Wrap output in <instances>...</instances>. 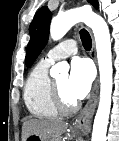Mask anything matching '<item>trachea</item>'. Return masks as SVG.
I'll return each instance as SVG.
<instances>
[{
  "instance_id": "1",
  "label": "trachea",
  "mask_w": 119,
  "mask_h": 141,
  "mask_svg": "<svg viewBox=\"0 0 119 141\" xmlns=\"http://www.w3.org/2000/svg\"><path fill=\"white\" fill-rule=\"evenodd\" d=\"M80 38L85 50H90L92 47V40H91L90 34L85 29H82L80 31Z\"/></svg>"
}]
</instances>
